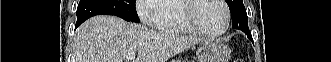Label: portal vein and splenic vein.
I'll return each instance as SVG.
<instances>
[{
  "label": "portal vein and splenic vein",
  "instance_id": "1",
  "mask_svg": "<svg viewBox=\"0 0 331 62\" xmlns=\"http://www.w3.org/2000/svg\"><path fill=\"white\" fill-rule=\"evenodd\" d=\"M127 59L133 60L135 58V53H129L128 56L126 57Z\"/></svg>",
  "mask_w": 331,
  "mask_h": 62
}]
</instances>
